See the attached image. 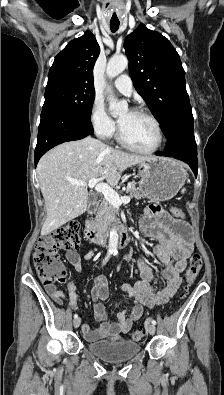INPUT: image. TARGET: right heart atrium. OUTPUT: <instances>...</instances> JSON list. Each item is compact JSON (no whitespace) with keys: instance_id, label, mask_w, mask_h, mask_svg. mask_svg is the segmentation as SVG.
I'll use <instances>...</instances> for the list:
<instances>
[{"instance_id":"1","label":"right heart atrium","mask_w":224,"mask_h":395,"mask_svg":"<svg viewBox=\"0 0 224 395\" xmlns=\"http://www.w3.org/2000/svg\"><path fill=\"white\" fill-rule=\"evenodd\" d=\"M90 123L95 133L102 138H110L116 131L115 122L110 118L101 100L95 99L90 109Z\"/></svg>"}]
</instances>
